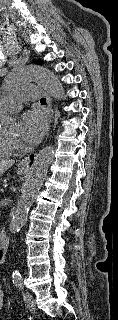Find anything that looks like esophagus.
Here are the masks:
<instances>
[{
    "mask_svg": "<svg viewBox=\"0 0 118 320\" xmlns=\"http://www.w3.org/2000/svg\"><path fill=\"white\" fill-rule=\"evenodd\" d=\"M46 100H47L48 108L51 112L50 123H52L53 121L52 99L48 94H46ZM35 162H36V154H30L26 156L24 159H22V161L20 162V167L22 169H30L34 166Z\"/></svg>",
    "mask_w": 118,
    "mask_h": 320,
    "instance_id": "34e87169",
    "label": "esophagus"
}]
</instances>
